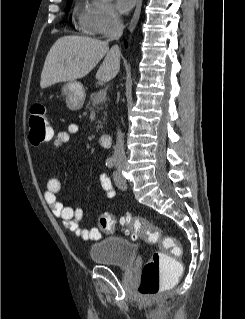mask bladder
Here are the masks:
<instances>
[{"label": "bladder", "instance_id": "31cf9c89", "mask_svg": "<svg viewBox=\"0 0 245 319\" xmlns=\"http://www.w3.org/2000/svg\"><path fill=\"white\" fill-rule=\"evenodd\" d=\"M137 245L120 237H107L96 240L89 248L93 262L125 268L134 263Z\"/></svg>", "mask_w": 245, "mask_h": 319}]
</instances>
